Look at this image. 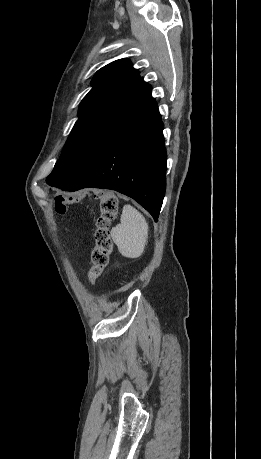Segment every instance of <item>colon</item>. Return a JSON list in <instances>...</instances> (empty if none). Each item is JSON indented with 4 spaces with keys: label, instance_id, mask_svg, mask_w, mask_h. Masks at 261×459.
<instances>
[{
    "label": "colon",
    "instance_id": "5ec220e1",
    "mask_svg": "<svg viewBox=\"0 0 261 459\" xmlns=\"http://www.w3.org/2000/svg\"><path fill=\"white\" fill-rule=\"evenodd\" d=\"M81 197H96L100 200V214L96 221L95 246L91 254V267L88 271V280L95 284L108 264L112 252L111 226L115 220L119 204L112 192L96 194L95 188H75L74 195L54 197L55 209L59 214H65L67 206L77 203Z\"/></svg>",
    "mask_w": 261,
    "mask_h": 459
}]
</instances>
